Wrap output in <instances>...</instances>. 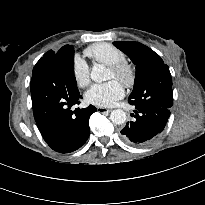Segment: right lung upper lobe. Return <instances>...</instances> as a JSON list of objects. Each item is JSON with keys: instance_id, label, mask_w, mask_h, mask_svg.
Returning <instances> with one entry per match:
<instances>
[{"instance_id": "cb5924a9", "label": "right lung upper lobe", "mask_w": 205, "mask_h": 205, "mask_svg": "<svg viewBox=\"0 0 205 205\" xmlns=\"http://www.w3.org/2000/svg\"><path fill=\"white\" fill-rule=\"evenodd\" d=\"M54 55L55 53L52 50H50L43 55V59L46 61H50V59H52Z\"/></svg>"}]
</instances>
